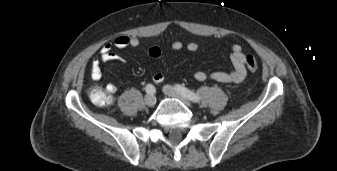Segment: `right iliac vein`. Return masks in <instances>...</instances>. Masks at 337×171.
<instances>
[{"mask_svg":"<svg viewBox=\"0 0 337 171\" xmlns=\"http://www.w3.org/2000/svg\"><path fill=\"white\" fill-rule=\"evenodd\" d=\"M156 103V97L153 94H148L145 96V104L149 107L154 106Z\"/></svg>","mask_w":337,"mask_h":171,"instance_id":"obj_1","label":"right iliac vein"}]
</instances>
